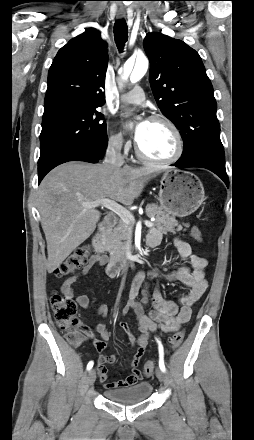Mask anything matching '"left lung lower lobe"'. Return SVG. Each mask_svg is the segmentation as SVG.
Here are the masks:
<instances>
[{
    "label": "left lung lower lobe",
    "instance_id": "0a47b994",
    "mask_svg": "<svg viewBox=\"0 0 254 440\" xmlns=\"http://www.w3.org/2000/svg\"><path fill=\"white\" fill-rule=\"evenodd\" d=\"M178 168L201 167L211 170L217 174L227 186H229V179L225 169V154L224 150L206 149L194 157L188 159L180 158L175 164Z\"/></svg>",
    "mask_w": 254,
    "mask_h": 440
}]
</instances>
